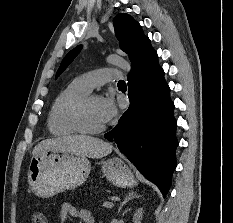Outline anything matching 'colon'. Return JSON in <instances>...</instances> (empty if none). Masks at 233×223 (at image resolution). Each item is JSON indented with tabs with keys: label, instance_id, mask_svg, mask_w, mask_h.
I'll return each instance as SVG.
<instances>
[{
	"label": "colon",
	"instance_id": "1",
	"mask_svg": "<svg viewBox=\"0 0 233 223\" xmlns=\"http://www.w3.org/2000/svg\"><path fill=\"white\" fill-rule=\"evenodd\" d=\"M33 223H45V219L41 215H35L33 218Z\"/></svg>",
	"mask_w": 233,
	"mask_h": 223
}]
</instances>
